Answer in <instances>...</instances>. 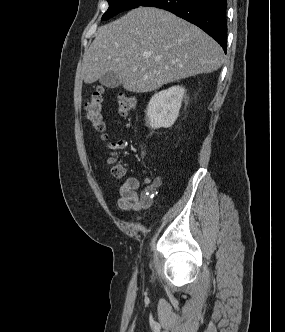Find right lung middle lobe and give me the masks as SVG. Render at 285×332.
<instances>
[{
    "label": "right lung middle lobe",
    "mask_w": 285,
    "mask_h": 332,
    "mask_svg": "<svg viewBox=\"0 0 285 332\" xmlns=\"http://www.w3.org/2000/svg\"><path fill=\"white\" fill-rule=\"evenodd\" d=\"M145 1L146 0H108L109 8L102 16V20H107L122 11L136 8Z\"/></svg>",
    "instance_id": "1"
}]
</instances>
